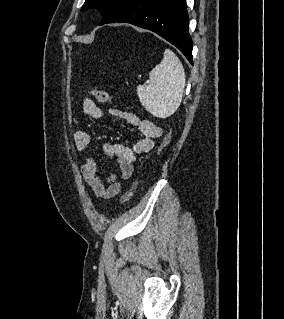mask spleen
Instances as JSON below:
<instances>
[{"mask_svg": "<svg viewBox=\"0 0 284 319\" xmlns=\"http://www.w3.org/2000/svg\"><path fill=\"white\" fill-rule=\"evenodd\" d=\"M149 79V85L137 86L140 102L155 117L171 116L181 104L185 87L181 61L170 49H166L160 64L149 73Z\"/></svg>", "mask_w": 284, "mask_h": 319, "instance_id": "spleen-1", "label": "spleen"}]
</instances>
